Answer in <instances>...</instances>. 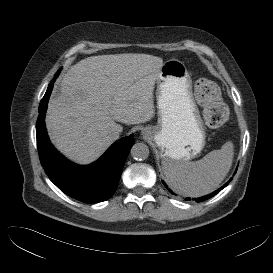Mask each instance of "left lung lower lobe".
Wrapping results in <instances>:
<instances>
[{
	"label": "left lung lower lobe",
	"mask_w": 273,
	"mask_h": 273,
	"mask_svg": "<svg viewBox=\"0 0 273 273\" xmlns=\"http://www.w3.org/2000/svg\"><path fill=\"white\" fill-rule=\"evenodd\" d=\"M236 172V171H235ZM232 179V178H231ZM163 182V181H162ZM163 184L165 185V183L163 182ZM228 185V182L226 184H224L221 188H219L218 190H216L215 192L209 194V195H206V196H203V197H200V198H197L195 199L197 202H201V201H204V200H207L209 198H211L212 196L216 195L218 192H220L224 187H226ZM171 194H173L172 191H170ZM186 200H190V198H187Z\"/></svg>",
	"instance_id": "left-lung-lower-lobe-1"
}]
</instances>
